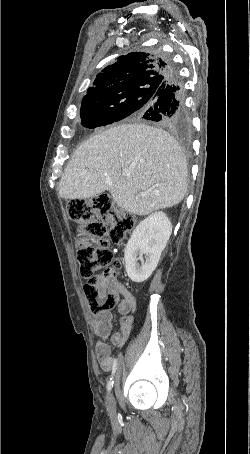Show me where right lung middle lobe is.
<instances>
[{"instance_id":"dd1d6c3e","label":"right lung middle lobe","mask_w":250,"mask_h":454,"mask_svg":"<svg viewBox=\"0 0 250 454\" xmlns=\"http://www.w3.org/2000/svg\"><path fill=\"white\" fill-rule=\"evenodd\" d=\"M159 91V84H145L117 99L81 105V125L93 129L129 116L138 117L155 101Z\"/></svg>"}]
</instances>
